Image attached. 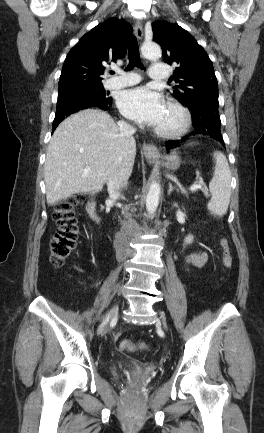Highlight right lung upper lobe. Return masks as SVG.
<instances>
[{"label":"right lung upper lobe","instance_id":"cb5924a9","mask_svg":"<svg viewBox=\"0 0 264 433\" xmlns=\"http://www.w3.org/2000/svg\"><path fill=\"white\" fill-rule=\"evenodd\" d=\"M131 30L126 20L110 18L86 33L64 61L59 91L77 85L101 84L104 65L125 55Z\"/></svg>","mask_w":264,"mask_h":433}]
</instances>
